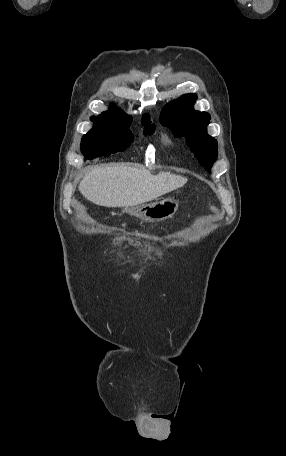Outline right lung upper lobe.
I'll list each match as a JSON object with an SVG mask.
<instances>
[{
  "label": "right lung upper lobe",
  "instance_id": "right-lung-upper-lobe-1",
  "mask_svg": "<svg viewBox=\"0 0 286 456\" xmlns=\"http://www.w3.org/2000/svg\"><path fill=\"white\" fill-rule=\"evenodd\" d=\"M102 115L108 116L114 119L122 120V121H129L131 122V117L121 112L116 107H111L109 111L103 112ZM149 121V115H144L143 122Z\"/></svg>",
  "mask_w": 286,
  "mask_h": 456
}]
</instances>
